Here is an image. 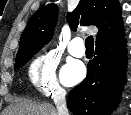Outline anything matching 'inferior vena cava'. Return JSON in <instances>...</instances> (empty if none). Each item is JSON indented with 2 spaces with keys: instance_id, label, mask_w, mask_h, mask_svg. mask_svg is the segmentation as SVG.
<instances>
[{
  "instance_id": "inferior-vena-cava-1",
  "label": "inferior vena cava",
  "mask_w": 131,
  "mask_h": 115,
  "mask_svg": "<svg viewBox=\"0 0 131 115\" xmlns=\"http://www.w3.org/2000/svg\"><path fill=\"white\" fill-rule=\"evenodd\" d=\"M66 92L60 91L54 95V103L58 110V115H69L66 107Z\"/></svg>"
}]
</instances>
